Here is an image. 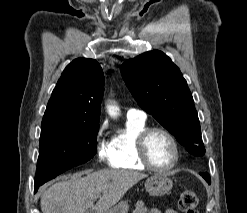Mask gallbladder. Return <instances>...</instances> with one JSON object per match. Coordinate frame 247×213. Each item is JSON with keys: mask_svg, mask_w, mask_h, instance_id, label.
Returning a JSON list of instances; mask_svg holds the SVG:
<instances>
[{"mask_svg": "<svg viewBox=\"0 0 247 213\" xmlns=\"http://www.w3.org/2000/svg\"><path fill=\"white\" fill-rule=\"evenodd\" d=\"M85 213H94V211L92 209H89Z\"/></svg>", "mask_w": 247, "mask_h": 213, "instance_id": "gallbladder-1", "label": "gallbladder"}]
</instances>
